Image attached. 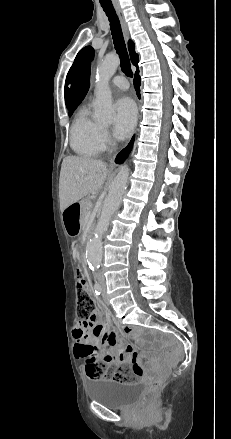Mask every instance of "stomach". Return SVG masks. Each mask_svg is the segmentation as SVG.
I'll return each mask as SVG.
<instances>
[{"instance_id":"obj_1","label":"stomach","mask_w":231,"mask_h":439,"mask_svg":"<svg viewBox=\"0 0 231 439\" xmlns=\"http://www.w3.org/2000/svg\"><path fill=\"white\" fill-rule=\"evenodd\" d=\"M67 209L68 208H66L64 211H63V216H64V218H63V224H64V228H65V230H66V232L69 234V235H75V234H77V232H78V230H79V223L77 222V220H75V219H70L69 217H68V214H67Z\"/></svg>"}]
</instances>
